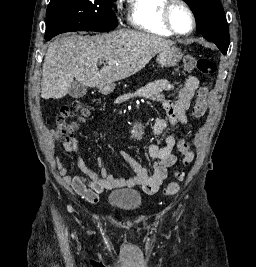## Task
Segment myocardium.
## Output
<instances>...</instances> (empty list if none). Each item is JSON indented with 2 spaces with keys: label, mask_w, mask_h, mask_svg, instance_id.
I'll return each instance as SVG.
<instances>
[{
  "label": "myocardium",
  "mask_w": 256,
  "mask_h": 267,
  "mask_svg": "<svg viewBox=\"0 0 256 267\" xmlns=\"http://www.w3.org/2000/svg\"><path fill=\"white\" fill-rule=\"evenodd\" d=\"M174 4H177V5L181 6L182 8H184V9L188 12V14H189V16H190V19H191V28H190V30H189L188 32H186V33H181V32H179V31L175 28V26H174V24H173V22H172V20H171V18H170V10H171V8H172V6H173ZM162 19H163V22H164V24L166 25V27H167V28H168L174 35H176V36H180V37H187V36H190V35L193 33V31L195 30V27H196V19H195V15H194L193 11L190 9V7H189L186 3H185L184 1H182V0H171V4L166 5L165 8H164V10H163V13H162Z\"/></svg>",
  "instance_id": "f54148a6"
}]
</instances>
